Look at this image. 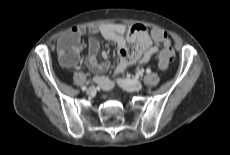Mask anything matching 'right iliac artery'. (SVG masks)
Here are the masks:
<instances>
[{
	"label": "right iliac artery",
	"instance_id": "82829eb1",
	"mask_svg": "<svg viewBox=\"0 0 230 155\" xmlns=\"http://www.w3.org/2000/svg\"><path fill=\"white\" fill-rule=\"evenodd\" d=\"M82 90H86V86H83V87H82Z\"/></svg>",
	"mask_w": 230,
	"mask_h": 155
}]
</instances>
